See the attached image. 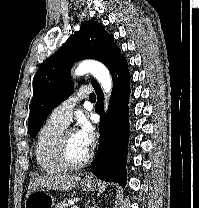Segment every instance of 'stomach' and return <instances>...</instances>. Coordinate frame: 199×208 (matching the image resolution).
I'll return each instance as SVG.
<instances>
[{
    "mask_svg": "<svg viewBox=\"0 0 199 208\" xmlns=\"http://www.w3.org/2000/svg\"><path fill=\"white\" fill-rule=\"evenodd\" d=\"M81 186L87 191H93L96 187L94 181L84 179ZM55 203L54 197L45 189L33 192L26 197L25 208H53Z\"/></svg>",
    "mask_w": 199,
    "mask_h": 208,
    "instance_id": "obj_1",
    "label": "stomach"
}]
</instances>
